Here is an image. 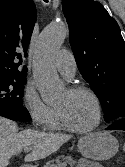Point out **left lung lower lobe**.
<instances>
[{
    "mask_svg": "<svg viewBox=\"0 0 125 167\" xmlns=\"http://www.w3.org/2000/svg\"><path fill=\"white\" fill-rule=\"evenodd\" d=\"M113 129L124 130L125 131V118H120V119H117V120L113 121L106 128V130H113Z\"/></svg>",
    "mask_w": 125,
    "mask_h": 167,
    "instance_id": "obj_1",
    "label": "left lung lower lobe"
}]
</instances>
